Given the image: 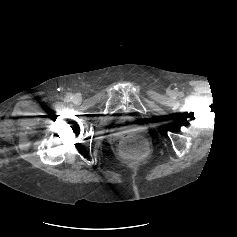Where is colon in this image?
I'll return each mask as SVG.
<instances>
[{
  "mask_svg": "<svg viewBox=\"0 0 237 237\" xmlns=\"http://www.w3.org/2000/svg\"><path fill=\"white\" fill-rule=\"evenodd\" d=\"M150 150L147 140L138 132H127L118 145L119 154L127 159H141Z\"/></svg>",
  "mask_w": 237,
  "mask_h": 237,
  "instance_id": "obj_1",
  "label": "colon"
}]
</instances>
